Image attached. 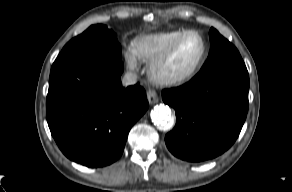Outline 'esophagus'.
Instances as JSON below:
<instances>
[{"instance_id":"1","label":"esophagus","mask_w":292,"mask_h":192,"mask_svg":"<svg viewBox=\"0 0 292 192\" xmlns=\"http://www.w3.org/2000/svg\"><path fill=\"white\" fill-rule=\"evenodd\" d=\"M147 99L150 104H155L158 102V95L155 90L149 89L147 91Z\"/></svg>"}]
</instances>
